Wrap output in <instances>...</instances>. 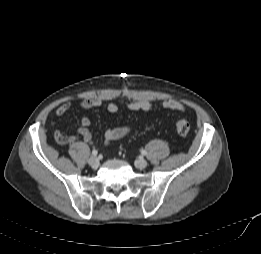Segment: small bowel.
I'll return each mask as SVG.
<instances>
[{
    "mask_svg": "<svg viewBox=\"0 0 261 254\" xmlns=\"http://www.w3.org/2000/svg\"><path fill=\"white\" fill-rule=\"evenodd\" d=\"M104 106L108 113L114 114L118 111V106L114 102L105 103L100 98H85L80 102V107L83 109H91L95 107ZM164 108L168 110H174L179 112H184L186 107L180 101L174 99H166L160 103H154L147 99L132 101L129 103L128 108L133 111H151L157 108ZM71 108V103L66 101L60 104L55 113L57 116L65 115ZM91 125V120L88 116H83L81 118V123L77 129V134L82 137L83 141L87 144H93V139L89 127ZM132 131L131 127L121 126L115 128H109L104 132V143L105 145H110L113 142L125 137ZM56 137L62 143H75L77 138L75 136H66L62 132H57Z\"/></svg>",
    "mask_w": 261,
    "mask_h": 254,
    "instance_id": "small-bowel-1",
    "label": "small bowel"
}]
</instances>
